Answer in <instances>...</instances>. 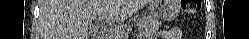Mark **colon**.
Here are the masks:
<instances>
[{"label":"colon","instance_id":"1","mask_svg":"<svg viewBox=\"0 0 249 39\" xmlns=\"http://www.w3.org/2000/svg\"><path fill=\"white\" fill-rule=\"evenodd\" d=\"M181 8L186 14H195L200 10V0H182Z\"/></svg>","mask_w":249,"mask_h":39}]
</instances>
